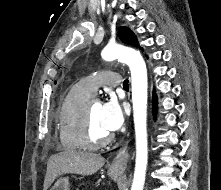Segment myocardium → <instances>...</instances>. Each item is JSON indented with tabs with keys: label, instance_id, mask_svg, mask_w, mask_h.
<instances>
[{
	"label": "myocardium",
	"instance_id": "f54148a6",
	"mask_svg": "<svg viewBox=\"0 0 221 190\" xmlns=\"http://www.w3.org/2000/svg\"><path fill=\"white\" fill-rule=\"evenodd\" d=\"M91 102H87L83 111V120H82V136L85 143V146L90 149H98L108 145L113 136L111 134L106 135L102 138L95 137L92 129V121L90 114V105Z\"/></svg>",
	"mask_w": 221,
	"mask_h": 190
}]
</instances>
